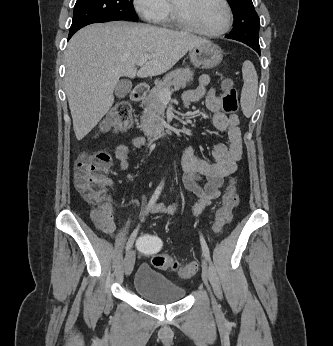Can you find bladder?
Segmentation results:
<instances>
[{
  "mask_svg": "<svg viewBox=\"0 0 333 346\" xmlns=\"http://www.w3.org/2000/svg\"><path fill=\"white\" fill-rule=\"evenodd\" d=\"M134 290L145 300L156 305H167L183 299L186 290L164 274L141 264L135 274Z\"/></svg>",
  "mask_w": 333,
  "mask_h": 346,
  "instance_id": "obj_1",
  "label": "bladder"
}]
</instances>
